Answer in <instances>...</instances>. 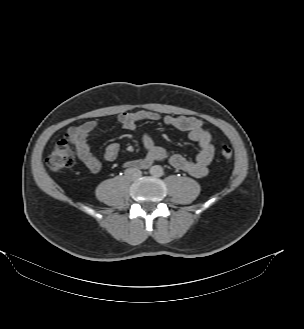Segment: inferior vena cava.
<instances>
[{"label": "inferior vena cava", "mask_w": 304, "mask_h": 329, "mask_svg": "<svg viewBox=\"0 0 304 329\" xmlns=\"http://www.w3.org/2000/svg\"><path fill=\"white\" fill-rule=\"evenodd\" d=\"M142 175V172L137 168H128L125 170V176L129 180H137Z\"/></svg>", "instance_id": "1"}]
</instances>
